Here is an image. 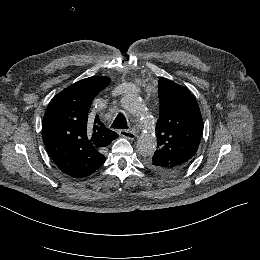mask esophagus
Instances as JSON below:
<instances>
[{"mask_svg":"<svg viewBox=\"0 0 260 260\" xmlns=\"http://www.w3.org/2000/svg\"><path fill=\"white\" fill-rule=\"evenodd\" d=\"M119 134L121 136H123L124 138L130 139V140H134L136 138V134L131 130L123 129L119 132Z\"/></svg>","mask_w":260,"mask_h":260,"instance_id":"obj_1","label":"esophagus"}]
</instances>
